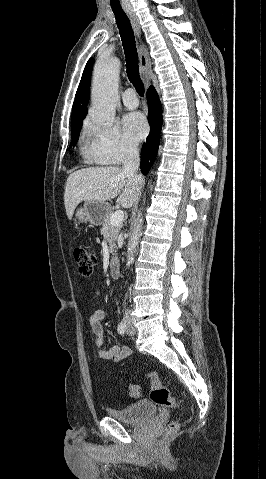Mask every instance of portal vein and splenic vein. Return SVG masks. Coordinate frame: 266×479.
<instances>
[{
	"label": "portal vein and splenic vein",
	"mask_w": 266,
	"mask_h": 479,
	"mask_svg": "<svg viewBox=\"0 0 266 479\" xmlns=\"http://www.w3.org/2000/svg\"><path fill=\"white\" fill-rule=\"evenodd\" d=\"M123 218H124L123 211L118 210L111 216L110 223L113 226H118V225L122 224Z\"/></svg>",
	"instance_id": "18ae733b"
}]
</instances>
